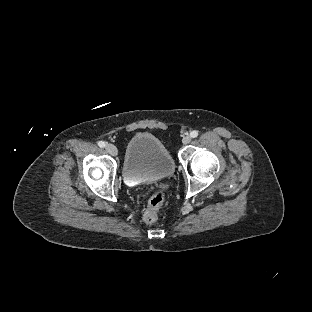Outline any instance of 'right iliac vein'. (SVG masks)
I'll return each instance as SVG.
<instances>
[{"label":"right iliac vein","mask_w":312,"mask_h":312,"mask_svg":"<svg viewBox=\"0 0 312 312\" xmlns=\"http://www.w3.org/2000/svg\"><path fill=\"white\" fill-rule=\"evenodd\" d=\"M105 149H106V151H107L109 154H111V155H113V156L117 155V152H118V151H117V148H116L115 145L108 143V144H106Z\"/></svg>","instance_id":"obj_1"}]
</instances>
